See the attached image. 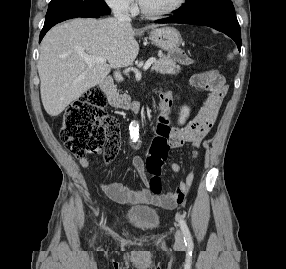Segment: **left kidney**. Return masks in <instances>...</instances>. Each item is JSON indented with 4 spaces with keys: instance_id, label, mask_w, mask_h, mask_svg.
<instances>
[{
    "instance_id": "5707ae66",
    "label": "left kidney",
    "mask_w": 286,
    "mask_h": 269,
    "mask_svg": "<svg viewBox=\"0 0 286 269\" xmlns=\"http://www.w3.org/2000/svg\"><path fill=\"white\" fill-rule=\"evenodd\" d=\"M189 108L184 106L182 109H181V113H180V118H179V123L180 124H184L186 118L189 116Z\"/></svg>"
}]
</instances>
